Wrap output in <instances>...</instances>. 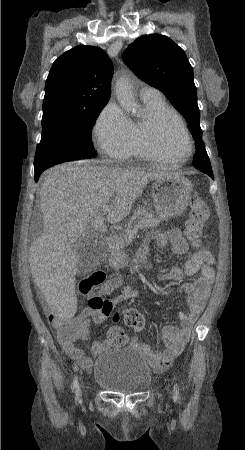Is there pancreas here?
Returning a JSON list of instances; mask_svg holds the SVG:
<instances>
[{"instance_id":"pancreas-1","label":"pancreas","mask_w":245,"mask_h":450,"mask_svg":"<svg viewBox=\"0 0 245 450\" xmlns=\"http://www.w3.org/2000/svg\"><path fill=\"white\" fill-rule=\"evenodd\" d=\"M159 223L158 218L152 212L148 211V209L138 208L130 218L125 230V243L129 244L139 230L156 227Z\"/></svg>"}]
</instances>
